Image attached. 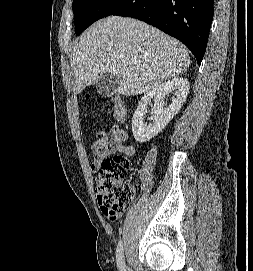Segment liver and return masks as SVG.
Instances as JSON below:
<instances>
[{
    "label": "liver",
    "mask_w": 253,
    "mask_h": 271,
    "mask_svg": "<svg viewBox=\"0 0 253 271\" xmlns=\"http://www.w3.org/2000/svg\"><path fill=\"white\" fill-rule=\"evenodd\" d=\"M189 64L179 41L142 21L109 16L90 26L74 44L73 90L79 94L109 74L121 77L119 94L140 95L185 73Z\"/></svg>",
    "instance_id": "liver-1"
}]
</instances>
